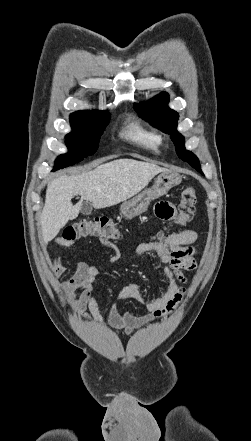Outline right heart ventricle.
<instances>
[{
    "mask_svg": "<svg viewBox=\"0 0 251 441\" xmlns=\"http://www.w3.org/2000/svg\"><path fill=\"white\" fill-rule=\"evenodd\" d=\"M121 137L153 153H158L162 144L161 135L134 116L127 118V122L121 131Z\"/></svg>",
    "mask_w": 251,
    "mask_h": 441,
    "instance_id": "obj_1",
    "label": "right heart ventricle"
}]
</instances>
